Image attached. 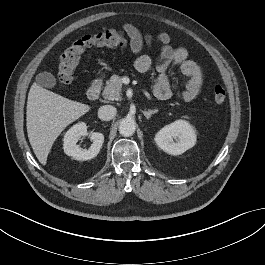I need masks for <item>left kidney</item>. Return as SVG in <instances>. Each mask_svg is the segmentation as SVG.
I'll use <instances>...</instances> for the list:
<instances>
[{
	"mask_svg": "<svg viewBox=\"0 0 265 265\" xmlns=\"http://www.w3.org/2000/svg\"><path fill=\"white\" fill-rule=\"evenodd\" d=\"M155 142L168 154L180 155L196 144V133L187 121L176 120L156 134Z\"/></svg>",
	"mask_w": 265,
	"mask_h": 265,
	"instance_id": "left-kidney-1",
	"label": "left kidney"
}]
</instances>
